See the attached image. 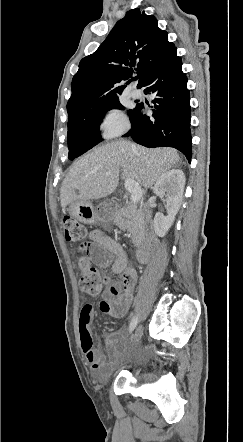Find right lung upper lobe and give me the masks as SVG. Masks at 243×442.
Segmentation results:
<instances>
[{
  "label": "right lung upper lobe",
  "instance_id": "1",
  "mask_svg": "<svg viewBox=\"0 0 243 442\" xmlns=\"http://www.w3.org/2000/svg\"><path fill=\"white\" fill-rule=\"evenodd\" d=\"M174 50L175 45L168 41L167 32L158 28L154 16L140 9L128 11L99 48L81 60L72 80L68 119L117 97L126 87L118 84L129 80L134 69L140 88Z\"/></svg>",
  "mask_w": 243,
  "mask_h": 442
}]
</instances>
